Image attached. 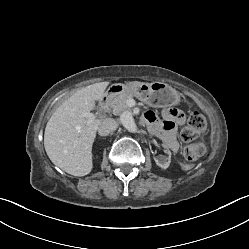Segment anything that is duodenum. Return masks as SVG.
I'll return each instance as SVG.
<instances>
[{
    "label": "duodenum",
    "instance_id": "duodenum-1",
    "mask_svg": "<svg viewBox=\"0 0 249 249\" xmlns=\"http://www.w3.org/2000/svg\"><path fill=\"white\" fill-rule=\"evenodd\" d=\"M115 95L110 93L109 91L101 98L100 102H99V107L101 110H103L106 106V104L108 103V101L110 100V98Z\"/></svg>",
    "mask_w": 249,
    "mask_h": 249
}]
</instances>
